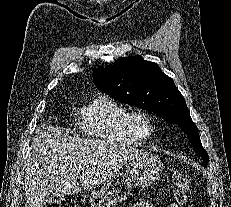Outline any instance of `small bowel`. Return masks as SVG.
Returning <instances> with one entry per match:
<instances>
[{
	"mask_svg": "<svg viewBox=\"0 0 231 207\" xmlns=\"http://www.w3.org/2000/svg\"><path fill=\"white\" fill-rule=\"evenodd\" d=\"M130 207H154L150 202H141L131 205Z\"/></svg>",
	"mask_w": 231,
	"mask_h": 207,
	"instance_id": "c3829d8e",
	"label": "small bowel"
}]
</instances>
